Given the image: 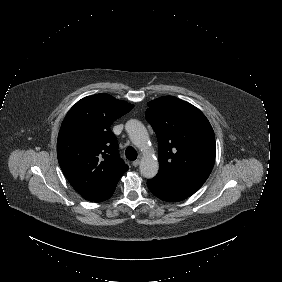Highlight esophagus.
I'll list each match as a JSON object with an SVG mask.
<instances>
[{"label": "esophagus", "mask_w": 282, "mask_h": 282, "mask_svg": "<svg viewBox=\"0 0 282 282\" xmlns=\"http://www.w3.org/2000/svg\"><path fill=\"white\" fill-rule=\"evenodd\" d=\"M132 164H133L134 167H138L139 164H140V160L139 159L134 160Z\"/></svg>", "instance_id": "34e87169"}]
</instances>
